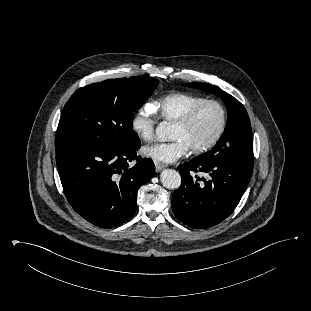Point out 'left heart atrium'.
<instances>
[{
	"mask_svg": "<svg viewBox=\"0 0 311 311\" xmlns=\"http://www.w3.org/2000/svg\"><path fill=\"white\" fill-rule=\"evenodd\" d=\"M189 146L181 139H174L170 142H157L146 146L143 154L156 162L172 163L184 156Z\"/></svg>",
	"mask_w": 311,
	"mask_h": 311,
	"instance_id": "left-heart-atrium-1",
	"label": "left heart atrium"
}]
</instances>
